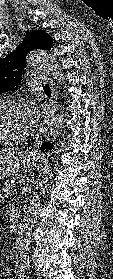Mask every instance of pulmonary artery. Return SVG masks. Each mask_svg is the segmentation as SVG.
Wrapping results in <instances>:
<instances>
[{"instance_id": "e3ab8cb5", "label": "pulmonary artery", "mask_w": 113, "mask_h": 279, "mask_svg": "<svg viewBox=\"0 0 113 279\" xmlns=\"http://www.w3.org/2000/svg\"><path fill=\"white\" fill-rule=\"evenodd\" d=\"M48 82V77L45 74L35 72L32 78L33 85L45 84Z\"/></svg>"}]
</instances>
